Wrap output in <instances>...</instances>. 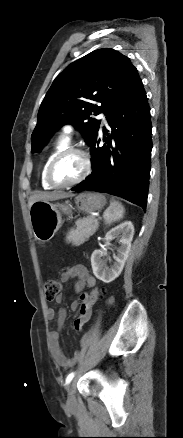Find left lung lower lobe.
<instances>
[{
    "mask_svg": "<svg viewBox=\"0 0 183 438\" xmlns=\"http://www.w3.org/2000/svg\"><path fill=\"white\" fill-rule=\"evenodd\" d=\"M111 136L103 127L107 147H96L97 136L90 144L92 173L74 191L91 190L122 197L146 209L152 150L150 108L139 77L106 114ZM111 138L120 152L112 147ZM115 166L111 165V158ZM117 167V168H116ZM116 170L114 178L110 172Z\"/></svg>",
    "mask_w": 183,
    "mask_h": 438,
    "instance_id": "1",
    "label": "left lung lower lobe"
}]
</instances>
